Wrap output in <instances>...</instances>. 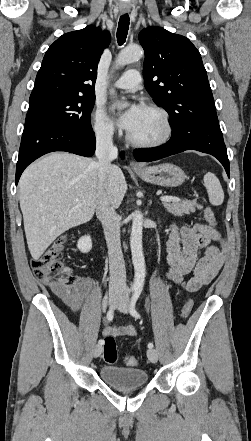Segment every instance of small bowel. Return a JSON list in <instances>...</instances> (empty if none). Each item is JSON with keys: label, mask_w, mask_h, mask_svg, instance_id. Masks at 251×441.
<instances>
[{"label": "small bowel", "mask_w": 251, "mask_h": 441, "mask_svg": "<svg viewBox=\"0 0 251 441\" xmlns=\"http://www.w3.org/2000/svg\"><path fill=\"white\" fill-rule=\"evenodd\" d=\"M221 243L219 233L209 225L194 224L178 227L170 225L167 240V277L188 292H196L209 284L217 275L224 261L222 249L215 245ZM203 255L200 256V252ZM192 273V277H185ZM92 283L87 278H80L77 285L66 291L53 292L74 313L79 312L87 298ZM102 334L113 337H131L136 330L131 325L105 327Z\"/></svg>", "instance_id": "c3829d8e"}]
</instances>
